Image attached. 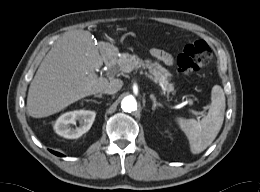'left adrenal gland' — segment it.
I'll return each instance as SVG.
<instances>
[{
	"mask_svg": "<svg viewBox=\"0 0 260 192\" xmlns=\"http://www.w3.org/2000/svg\"><path fill=\"white\" fill-rule=\"evenodd\" d=\"M150 98H151V100L153 101L152 110H155L156 107H158V106H160V107L162 106L160 103H158V102L156 101V98H155V96H154L153 94L150 95Z\"/></svg>",
	"mask_w": 260,
	"mask_h": 192,
	"instance_id": "obj_1",
	"label": "left adrenal gland"
}]
</instances>
